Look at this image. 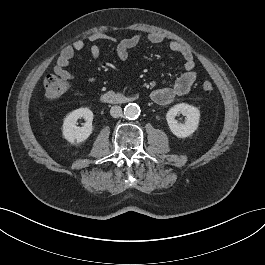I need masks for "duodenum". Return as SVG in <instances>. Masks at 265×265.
<instances>
[{"mask_svg": "<svg viewBox=\"0 0 265 265\" xmlns=\"http://www.w3.org/2000/svg\"><path fill=\"white\" fill-rule=\"evenodd\" d=\"M100 100L107 104H123L129 101V98L115 91L105 92L100 96Z\"/></svg>", "mask_w": 265, "mask_h": 265, "instance_id": "1", "label": "duodenum"}]
</instances>
